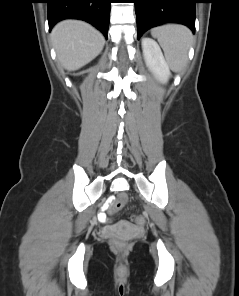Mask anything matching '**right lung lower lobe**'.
Segmentation results:
<instances>
[{"label": "right lung lower lobe", "mask_w": 239, "mask_h": 296, "mask_svg": "<svg viewBox=\"0 0 239 296\" xmlns=\"http://www.w3.org/2000/svg\"><path fill=\"white\" fill-rule=\"evenodd\" d=\"M49 30L67 18L89 22L107 38L111 0H46Z\"/></svg>", "instance_id": "right-lung-lower-lobe-1"}]
</instances>
